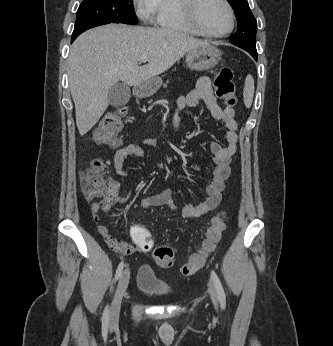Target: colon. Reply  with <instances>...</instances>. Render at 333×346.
Instances as JSON below:
<instances>
[{
	"label": "colon",
	"mask_w": 333,
	"mask_h": 346,
	"mask_svg": "<svg viewBox=\"0 0 333 346\" xmlns=\"http://www.w3.org/2000/svg\"><path fill=\"white\" fill-rule=\"evenodd\" d=\"M214 88L216 96L225 101L228 108L236 104V86L233 71L221 68L215 78ZM127 114L126 108L122 107L107 113L98 124L93 139L98 145L114 146L117 144V135L123 126ZM105 165L100 160H95L81 176L83 193L89 201H101L109 195V182L104 175ZM225 229V216L220 214L212 219L201 248L192 254L182 267L184 275H193L199 271L206 260V256L220 241ZM130 238L136 242L140 254H149L156 246L155 240H150V234L145 226H129ZM152 257L160 267H171L175 260L174 250L167 245H159L153 249Z\"/></svg>",
	"instance_id": "1"
}]
</instances>
